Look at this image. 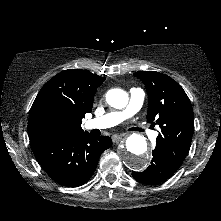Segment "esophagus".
<instances>
[{
	"label": "esophagus",
	"mask_w": 221,
	"mask_h": 221,
	"mask_svg": "<svg viewBox=\"0 0 221 221\" xmlns=\"http://www.w3.org/2000/svg\"><path fill=\"white\" fill-rule=\"evenodd\" d=\"M125 134H122V135H114L112 137V140H113V143H119L120 141L124 140L125 139Z\"/></svg>",
	"instance_id": "esophagus-1"
}]
</instances>
